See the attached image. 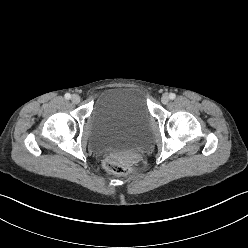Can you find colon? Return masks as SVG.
Returning a JSON list of instances; mask_svg holds the SVG:
<instances>
[{
  "label": "colon",
  "mask_w": 248,
  "mask_h": 248,
  "mask_svg": "<svg viewBox=\"0 0 248 248\" xmlns=\"http://www.w3.org/2000/svg\"><path fill=\"white\" fill-rule=\"evenodd\" d=\"M103 165L107 172L114 175H126L131 172L129 166L122 164L113 157L105 158Z\"/></svg>",
  "instance_id": "obj_1"
}]
</instances>
